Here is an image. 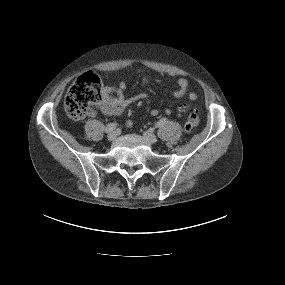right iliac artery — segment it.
Instances as JSON below:
<instances>
[{"instance_id": "82829eb1", "label": "right iliac artery", "mask_w": 285, "mask_h": 285, "mask_svg": "<svg viewBox=\"0 0 285 285\" xmlns=\"http://www.w3.org/2000/svg\"><path fill=\"white\" fill-rule=\"evenodd\" d=\"M117 127V123H109L106 128H105V131L106 132H111L113 131L115 128Z\"/></svg>"}]
</instances>
